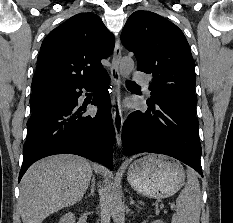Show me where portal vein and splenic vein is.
<instances>
[{"mask_svg": "<svg viewBox=\"0 0 233 223\" xmlns=\"http://www.w3.org/2000/svg\"><path fill=\"white\" fill-rule=\"evenodd\" d=\"M171 207H172V209H173V207H175V205H171Z\"/></svg>", "mask_w": 233, "mask_h": 223, "instance_id": "1", "label": "portal vein and splenic vein"}]
</instances>
